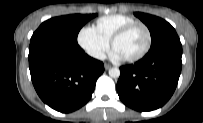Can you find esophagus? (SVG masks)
<instances>
[{
    "label": "esophagus",
    "instance_id": "1",
    "mask_svg": "<svg viewBox=\"0 0 203 123\" xmlns=\"http://www.w3.org/2000/svg\"><path fill=\"white\" fill-rule=\"evenodd\" d=\"M104 67H105L106 70H108V69L111 68V65H109V64H105Z\"/></svg>",
    "mask_w": 203,
    "mask_h": 123
}]
</instances>
